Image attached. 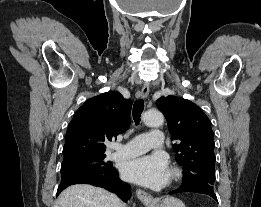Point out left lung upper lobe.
I'll list each match as a JSON object with an SVG mask.
<instances>
[{"label":"left lung upper lobe","mask_w":261,"mask_h":207,"mask_svg":"<svg viewBox=\"0 0 261 207\" xmlns=\"http://www.w3.org/2000/svg\"><path fill=\"white\" fill-rule=\"evenodd\" d=\"M157 107L164 114L176 160L183 165V182H215L214 140L211 122L200 107L176 96L161 97Z\"/></svg>","instance_id":"obj_1"}]
</instances>
